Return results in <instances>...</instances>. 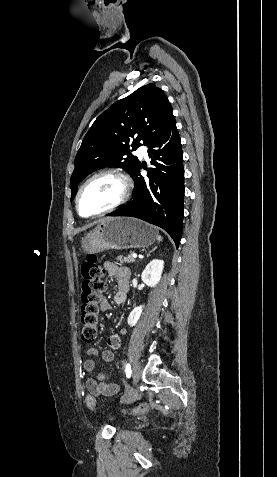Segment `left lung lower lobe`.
<instances>
[{
  "instance_id": "1",
  "label": "left lung lower lobe",
  "mask_w": 277,
  "mask_h": 477,
  "mask_svg": "<svg viewBox=\"0 0 277 477\" xmlns=\"http://www.w3.org/2000/svg\"><path fill=\"white\" fill-rule=\"evenodd\" d=\"M151 164L148 178L140 175L142 165L132 176L135 181L132 200L108 216H131L166 230L178 247L184 213L183 152L175 118L146 144Z\"/></svg>"
}]
</instances>
